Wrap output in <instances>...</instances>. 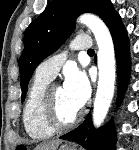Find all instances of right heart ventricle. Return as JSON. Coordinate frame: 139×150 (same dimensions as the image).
<instances>
[{
  "label": "right heart ventricle",
  "instance_id": "obj_1",
  "mask_svg": "<svg viewBox=\"0 0 139 150\" xmlns=\"http://www.w3.org/2000/svg\"><path fill=\"white\" fill-rule=\"evenodd\" d=\"M50 81V79L36 75L24 104L23 125L26 133L33 139H45L55 132L47 127L41 118V103Z\"/></svg>",
  "mask_w": 139,
  "mask_h": 150
}]
</instances>
